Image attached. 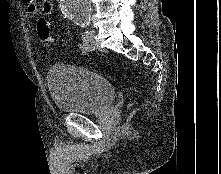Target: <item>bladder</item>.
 Masks as SVG:
<instances>
[{
  "label": "bladder",
  "mask_w": 221,
  "mask_h": 174,
  "mask_svg": "<svg viewBox=\"0 0 221 174\" xmlns=\"http://www.w3.org/2000/svg\"><path fill=\"white\" fill-rule=\"evenodd\" d=\"M47 86L56 109L67 114H99L115 99L114 87L105 77L80 66L53 65Z\"/></svg>",
  "instance_id": "1"
}]
</instances>
